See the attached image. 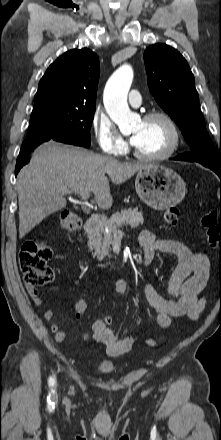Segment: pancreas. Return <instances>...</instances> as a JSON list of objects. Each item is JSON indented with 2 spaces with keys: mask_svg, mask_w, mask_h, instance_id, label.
<instances>
[{
  "mask_svg": "<svg viewBox=\"0 0 221 440\" xmlns=\"http://www.w3.org/2000/svg\"><path fill=\"white\" fill-rule=\"evenodd\" d=\"M144 222L143 213L138 208H128L114 213L110 219L101 223L89 236V246L94 249H101L104 255H109L110 244L113 241V234L123 225H130L133 228L142 225Z\"/></svg>",
  "mask_w": 221,
  "mask_h": 440,
  "instance_id": "1",
  "label": "pancreas"
}]
</instances>
